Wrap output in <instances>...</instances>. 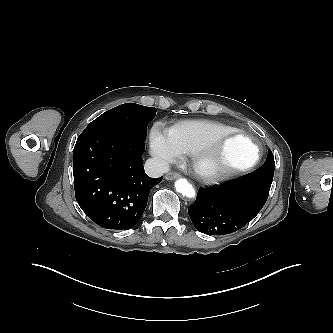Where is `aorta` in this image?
Segmentation results:
<instances>
[{
	"instance_id": "1",
	"label": "aorta",
	"mask_w": 333,
	"mask_h": 333,
	"mask_svg": "<svg viewBox=\"0 0 333 333\" xmlns=\"http://www.w3.org/2000/svg\"><path fill=\"white\" fill-rule=\"evenodd\" d=\"M175 189L183 196L193 198L195 196V189L192 184L185 178H180L175 181Z\"/></svg>"
}]
</instances>
